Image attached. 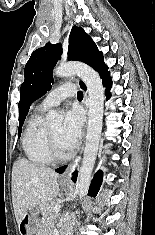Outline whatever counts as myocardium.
Segmentation results:
<instances>
[{"label": "myocardium", "mask_w": 155, "mask_h": 235, "mask_svg": "<svg viewBox=\"0 0 155 235\" xmlns=\"http://www.w3.org/2000/svg\"><path fill=\"white\" fill-rule=\"evenodd\" d=\"M47 148L49 156L53 161L62 162L67 160L70 156L68 152L63 153L59 151L56 141L49 129L47 130Z\"/></svg>", "instance_id": "1"}]
</instances>
